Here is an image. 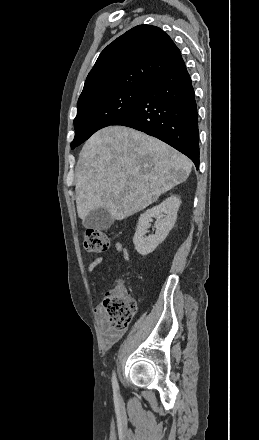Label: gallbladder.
<instances>
[{
	"label": "gallbladder",
	"mask_w": 259,
	"mask_h": 440,
	"mask_svg": "<svg viewBox=\"0 0 259 440\" xmlns=\"http://www.w3.org/2000/svg\"><path fill=\"white\" fill-rule=\"evenodd\" d=\"M114 222V219L110 213L104 208H98L91 211L85 219H83L82 224L87 229L94 230H107Z\"/></svg>",
	"instance_id": "bac80fb5"
}]
</instances>
